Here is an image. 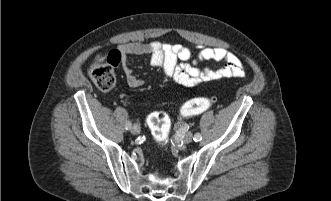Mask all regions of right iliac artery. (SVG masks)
Here are the masks:
<instances>
[{
	"label": "right iliac artery",
	"instance_id": "1",
	"mask_svg": "<svg viewBox=\"0 0 331 201\" xmlns=\"http://www.w3.org/2000/svg\"><path fill=\"white\" fill-rule=\"evenodd\" d=\"M131 127H132L131 122H130V121H127L126 124H125V128H126V130H130Z\"/></svg>",
	"mask_w": 331,
	"mask_h": 201
}]
</instances>
